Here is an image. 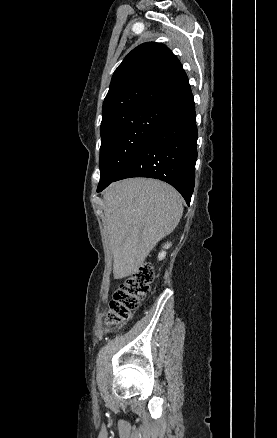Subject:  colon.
Instances as JSON below:
<instances>
[{"mask_svg":"<svg viewBox=\"0 0 277 438\" xmlns=\"http://www.w3.org/2000/svg\"><path fill=\"white\" fill-rule=\"evenodd\" d=\"M151 277V267L143 266L120 282L110 302L109 319L111 321H123L139 308L140 302L150 294Z\"/></svg>","mask_w":277,"mask_h":438,"instance_id":"5ec220e1","label":"colon"}]
</instances>
